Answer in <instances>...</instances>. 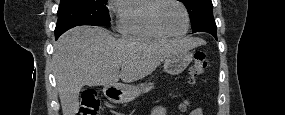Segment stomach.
Masks as SVG:
<instances>
[{
  "instance_id": "1",
  "label": "stomach",
  "mask_w": 285,
  "mask_h": 115,
  "mask_svg": "<svg viewBox=\"0 0 285 115\" xmlns=\"http://www.w3.org/2000/svg\"><path fill=\"white\" fill-rule=\"evenodd\" d=\"M192 61V54L188 51L172 54L165 58L164 71L170 75L182 73ZM153 88V84L146 86L144 92ZM105 97L113 103L123 104L137 98L141 90L138 87L124 84L106 85L103 89Z\"/></svg>"
}]
</instances>
